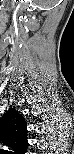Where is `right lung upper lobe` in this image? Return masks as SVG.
<instances>
[{
  "label": "right lung upper lobe",
  "instance_id": "right-lung-upper-lobe-1",
  "mask_svg": "<svg viewBox=\"0 0 74 154\" xmlns=\"http://www.w3.org/2000/svg\"><path fill=\"white\" fill-rule=\"evenodd\" d=\"M9 114L6 116L7 117V120L6 121H9L10 123L12 122H17L18 124L16 125H19V127H21V130L24 132L25 131V122H24V118L19 115L18 113H16V111H9L8 112Z\"/></svg>",
  "mask_w": 74,
  "mask_h": 154
}]
</instances>
